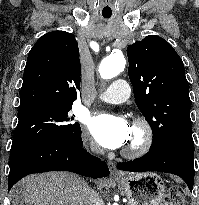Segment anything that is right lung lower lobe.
Instances as JSON below:
<instances>
[{
  "label": "right lung lower lobe",
  "mask_w": 199,
  "mask_h": 205,
  "mask_svg": "<svg viewBox=\"0 0 199 205\" xmlns=\"http://www.w3.org/2000/svg\"><path fill=\"white\" fill-rule=\"evenodd\" d=\"M82 146V139L76 142L60 139L11 153L8 191L17 181L32 173L60 170L91 178L108 176L107 164L89 154Z\"/></svg>",
  "instance_id": "1"
}]
</instances>
